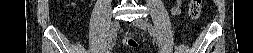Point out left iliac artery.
<instances>
[{"mask_svg": "<svg viewBox=\"0 0 253 53\" xmlns=\"http://www.w3.org/2000/svg\"><path fill=\"white\" fill-rule=\"evenodd\" d=\"M149 28L151 31L150 36L152 37L151 42L154 43L155 46H157L158 51H161L162 45L161 42L158 41L159 36L157 35L156 32H154L152 25L149 24Z\"/></svg>", "mask_w": 253, "mask_h": 53, "instance_id": "left-iliac-artery-1", "label": "left iliac artery"}]
</instances>
